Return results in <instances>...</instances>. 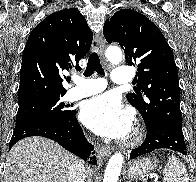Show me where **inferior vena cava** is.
<instances>
[{"label": "inferior vena cava", "mask_w": 196, "mask_h": 182, "mask_svg": "<svg viewBox=\"0 0 196 182\" xmlns=\"http://www.w3.org/2000/svg\"><path fill=\"white\" fill-rule=\"evenodd\" d=\"M85 167L84 164L77 160L71 166L69 171L68 182H84L85 180Z\"/></svg>", "instance_id": "inferior-vena-cava-1"}]
</instances>
